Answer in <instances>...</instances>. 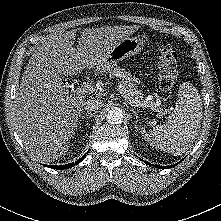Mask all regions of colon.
<instances>
[{"label": "colon", "mask_w": 221, "mask_h": 221, "mask_svg": "<svg viewBox=\"0 0 221 221\" xmlns=\"http://www.w3.org/2000/svg\"><path fill=\"white\" fill-rule=\"evenodd\" d=\"M158 64L159 87L163 91H169L175 85L178 75V56L171 46L164 45L160 48Z\"/></svg>", "instance_id": "5ec220e1"}]
</instances>
